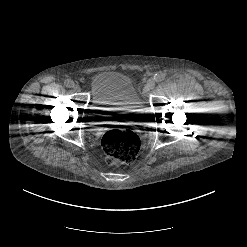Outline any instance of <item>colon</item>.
I'll return each instance as SVG.
<instances>
[{
    "label": "colon",
    "instance_id": "1",
    "mask_svg": "<svg viewBox=\"0 0 247 247\" xmlns=\"http://www.w3.org/2000/svg\"><path fill=\"white\" fill-rule=\"evenodd\" d=\"M101 146L109 165L129 164L136 159L139 153L140 139L130 129H113L103 135Z\"/></svg>",
    "mask_w": 247,
    "mask_h": 247
}]
</instances>
